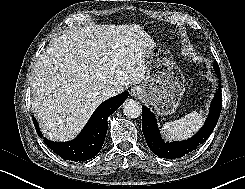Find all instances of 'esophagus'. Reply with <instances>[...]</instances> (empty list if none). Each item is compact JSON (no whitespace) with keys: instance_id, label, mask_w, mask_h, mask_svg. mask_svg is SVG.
Wrapping results in <instances>:
<instances>
[{"instance_id":"34e87169","label":"esophagus","mask_w":245,"mask_h":189,"mask_svg":"<svg viewBox=\"0 0 245 189\" xmlns=\"http://www.w3.org/2000/svg\"><path fill=\"white\" fill-rule=\"evenodd\" d=\"M141 94V89L139 88V87H134L133 89H132V95L133 96H135V97H137V96H139Z\"/></svg>"}]
</instances>
